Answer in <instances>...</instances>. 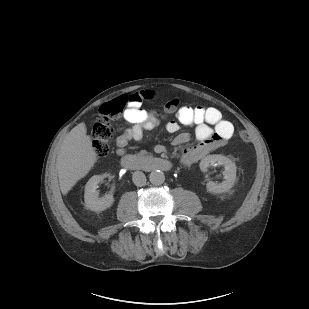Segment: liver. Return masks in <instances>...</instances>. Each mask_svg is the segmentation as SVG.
<instances>
[{
  "instance_id": "liver-1",
  "label": "liver",
  "mask_w": 309,
  "mask_h": 309,
  "mask_svg": "<svg viewBox=\"0 0 309 309\" xmlns=\"http://www.w3.org/2000/svg\"><path fill=\"white\" fill-rule=\"evenodd\" d=\"M97 154L87 135L85 123L75 126L63 140L56 159L59 185L63 195L92 169Z\"/></svg>"
}]
</instances>
